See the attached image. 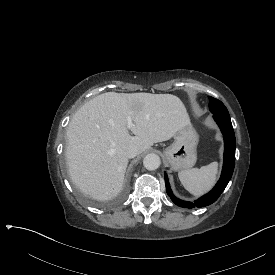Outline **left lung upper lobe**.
<instances>
[{
    "label": "left lung upper lobe",
    "instance_id": "1",
    "mask_svg": "<svg viewBox=\"0 0 275 275\" xmlns=\"http://www.w3.org/2000/svg\"><path fill=\"white\" fill-rule=\"evenodd\" d=\"M209 98V109L213 114H217V115H222L225 117H230L228 110L226 109V107L224 106V104L219 101L218 99H215L213 97H208Z\"/></svg>",
    "mask_w": 275,
    "mask_h": 275
}]
</instances>
